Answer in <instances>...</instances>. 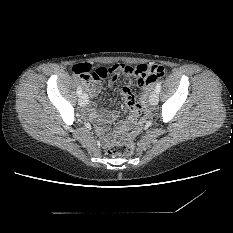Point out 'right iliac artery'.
<instances>
[{"mask_svg":"<svg viewBox=\"0 0 233 233\" xmlns=\"http://www.w3.org/2000/svg\"><path fill=\"white\" fill-rule=\"evenodd\" d=\"M77 94L80 96L82 94V87L79 85L77 88Z\"/></svg>","mask_w":233,"mask_h":233,"instance_id":"1","label":"right iliac artery"}]
</instances>
